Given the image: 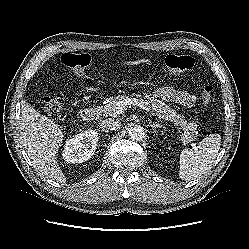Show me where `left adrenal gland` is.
Segmentation results:
<instances>
[{"mask_svg":"<svg viewBox=\"0 0 249 249\" xmlns=\"http://www.w3.org/2000/svg\"><path fill=\"white\" fill-rule=\"evenodd\" d=\"M149 124H150L151 128L153 129V131H155L156 128H164V125H160L157 122H152L151 120H149Z\"/></svg>","mask_w":249,"mask_h":249,"instance_id":"obj_1","label":"left adrenal gland"}]
</instances>
